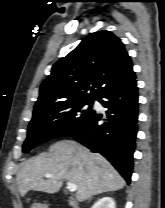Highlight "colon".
Segmentation results:
<instances>
[{"mask_svg":"<svg viewBox=\"0 0 165 208\" xmlns=\"http://www.w3.org/2000/svg\"><path fill=\"white\" fill-rule=\"evenodd\" d=\"M30 208H47L45 204L41 203L40 201L33 200L30 203Z\"/></svg>","mask_w":165,"mask_h":208,"instance_id":"5ec220e1","label":"colon"}]
</instances>
